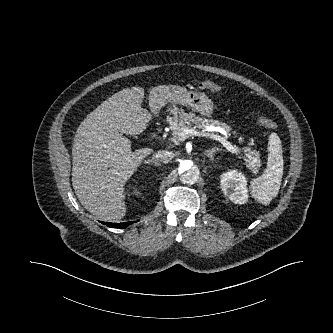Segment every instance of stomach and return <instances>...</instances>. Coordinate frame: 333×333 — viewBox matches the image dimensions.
<instances>
[{"mask_svg":"<svg viewBox=\"0 0 333 333\" xmlns=\"http://www.w3.org/2000/svg\"><path fill=\"white\" fill-rule=\"evenodd\" d=\"M168 104L187 106L206 116H210L213 112V102L211 99L204 93L194 91H185L180 97L171 100Z\"/></svg>","mask_w":333,"mask_h":333,"instance_id":"obj_1","label":"stomach"}]
</instances>
